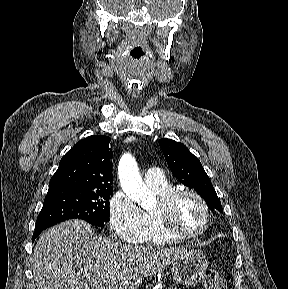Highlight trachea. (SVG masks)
Wrapping results in <instances>:
<instances>
[{
  "label": "trachea",
  "mask_w": 288,
  "mask_h": 289,
  "mask_svg": "<svg viewBox=\"0 0 288 289\" xmlns=\"http://www.w3.org/2000/svg\"><path fill=\"white\" fill-rule=\"evenodd\" d=\"M130 56L134 61H140L143 58L144 53L142 51H137L133 49L130 52Z\"/></svg>",
  "instance_id": "3493384b"
}]
</instances>
